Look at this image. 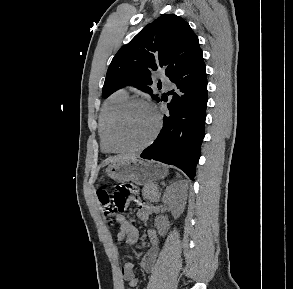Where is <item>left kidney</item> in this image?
Returning <instances> with one entry per match:
<instances>
[{"mask_svg": "<svg viewBox=\"0 0 293 289\" xmlns=\"http://www.w3.org/2000/svg\"><path fill=\"white\" fill-rule=\"evenodd\" d=\"M186 180H179L168 186L164 192L162 201L172 211L174 218H178L186 204Z\"/></svg>", "mask_w": 293, "mask_h": 289, "instance_id": "left-kidney-1", "label": "left kidney"}]
</instances>
